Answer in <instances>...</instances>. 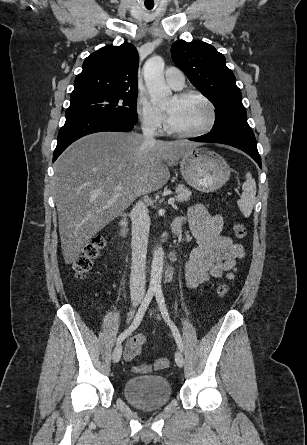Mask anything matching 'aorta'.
Segmentation results:
<instances>
[{"mask_svg": "<svg viewBox=\"0 0 307 445\" xmlns=\"http://www.w3.org/2000/svg\"><path fill=\"white\" fill-rule=\"evenodd\" d=\"M164 58L151 56L146 60L144 68V80L150 94L152 104L168 106L172 104V90L166 86L164 78ZM164 263V249L156 247L153 253L150 273L149 291H161V281Z\"/></svg>", "mask_w": 307, "mask_h": 445, "instance_id": "aorta-1", "label": "aorta"}]
</instances>
